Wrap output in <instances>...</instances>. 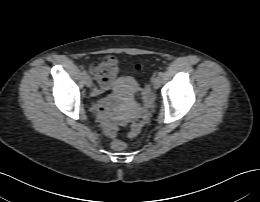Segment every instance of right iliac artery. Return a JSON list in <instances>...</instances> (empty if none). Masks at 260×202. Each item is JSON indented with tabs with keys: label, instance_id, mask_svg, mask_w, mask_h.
<instances>
[{
	"label": "right iliac artery",
	"instance_id": "1",
	"mask_svg": "<svg viewBox=\"0 0 260 202\" xmlns=\"http://www.w3.org/2000/svg\"><path fill=\"white\" fill-rule=\"evenodd\" d=\"M82 74H83L84 76H86V75H87V72L84 70V71L82 72Z\"/></svg>",
	"mask_w": 260,
	"mask_h": 202
}]
</instances>
